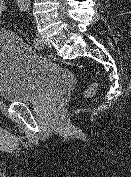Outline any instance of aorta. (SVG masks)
Returning <instances> with one entry per match:
<instances>
[{
  "mask_svg": "<svg viewBox=\"0 0 131 177\" xmlns=\"http://www.w3.org/2000/svg\"><path fill=\"white\" fill-rule=\"evenodd\" d=\"M30 0H17V3L20 5H27L29 4Z\"/></svg>",
  "mask_w": 131,
  "mask_h": 177,
  "instance_id": "762f6f07",
  "label": "aorta"
}]
</instances>
